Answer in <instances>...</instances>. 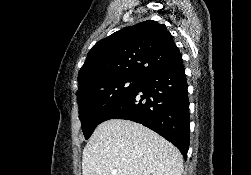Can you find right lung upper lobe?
Wrapping results in <instances>:
<instances>
[{"instance_id": "right-lung-upper-lobe-1", "label": "right lung upper lobe", "mask_w": 251, "mask_h": 175, "mask_svg": "<svg viewBox=\"0 0 251 175\" xmlns=\"http://www.w3.org/2000/svg\"><path fill=\"white\" fill-rule=\"evenodd\" d=\"M180 62L181 53L166 26L144 21L125 27L92 47L78 74L79 88L122 76L141 79Z\"/></svg>"}]
</instances>
